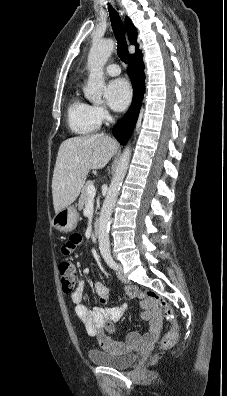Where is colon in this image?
<instances>
[{"instance_id": "colon-1", "label": "colon", "mask_w": 227, "mask_h": 396, "mask_svg": "<svg viewBox=\"0 0 227 396\" xmlns=\"http://www.w3.org/2000/svg\"><path fill=\"white\" fill-rule=\"evenodd\" d=\"M60 283L64 293L72 294L76 288L75 267L70 261H62L59 264ZM146 298L157 308L161 309L165 318L170 322V330L162 337L160 347L164 350L170 349L175 344L179 335V325L175 313L165 298L155 292L147 291L135 296Z\"/></svg>"}]
</instances>
